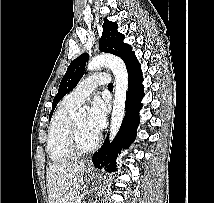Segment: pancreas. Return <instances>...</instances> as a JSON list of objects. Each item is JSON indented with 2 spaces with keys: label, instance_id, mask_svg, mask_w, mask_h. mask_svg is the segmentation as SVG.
I'll list each match as a JSON object with an SVG mask.
<instances>
[{
  "label": "pancreas",
  "instance_id": "pancreas-1",
  "mask_svg": "<svg viewBox=\"0 0 214 203\" xmlns=\"http://www.w3.org/2000/svg\"><path fill=\"white\" fill-rule=\"evenodd\" d=\"M77 200H78V197H77V196H74L73 198H71V199L69 200L68 203H77Z\"/></svg>",
  "mask_w": 214,
  "mask_h": 203
}]
</instances>
